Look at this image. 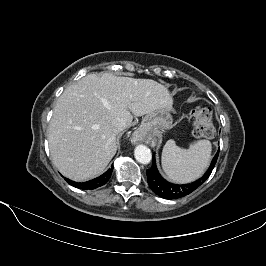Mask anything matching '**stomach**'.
I'll list each match as a JSON object with an SVG mask.
<instances>
[{
    "label": "stomach",
    "instance_id": "0dacf381",
    "mask_svg": "<svg viewBox=\"0 0 266 266\" xmlns=\"http://www.w3.org/2000/svg\"><path fill=\"white\" fill-rule=\"evenodd\" d=\"M172 123L173 119L170 110L159 108L143 117L137 133L146 135L152 131L169 129L172 127Z\"/></svg>",
    "mask_w": 266,
    "mask_h": 266
}]
</instances>
